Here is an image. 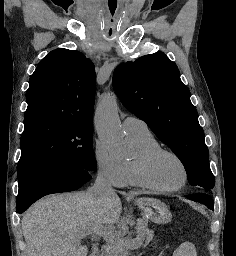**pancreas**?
<instances>
[{
  "label": "pancreas",
  "instance_id": "obj_1",
  "mask_svg": "<svg viewBox=\"0 0 236 256\" xmlns=\"http://www.w3.org/2000/svg\"><path fill=\"white\" fill-rule=\"evenodd\" d=\"M118 223L122 224V226H118V230H112V234H108V232H106L107 236H105V240L107 242V246L108 248H114V250H109V253L122 254L123 250H135V247L148 246L154 236V232H145V226H147V223H144L138 224L136 229V235L138 238H121V236H125V234H127L123 226L132 224L133 220L125 218V220H118Z\"/></svg>",
  "mask_w": 236,
  "mask_h": 256
}]
</instances>
